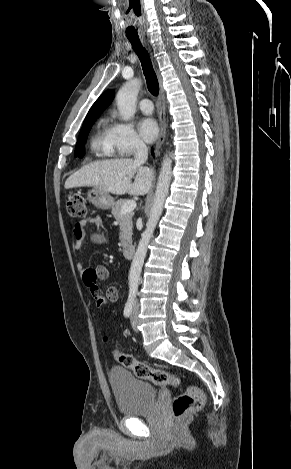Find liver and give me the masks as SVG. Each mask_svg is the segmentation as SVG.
Masks as SVG:
<instances>
[{"mask_svg": "<svg viewBox=\"0 0 291 469\" xmlns=\"http://www.w3.org/2000/svg\"><path fill=\"white\" fill-rule=\"evenodd\" d=\"M153 177V169L133 159H112L85 165L67 178L65 188L91 186L117 195H145Z\"/></svg>", "mask_w": 291, "mask_h": 469, "instance_id": "liver-1", "label": "liver"}]
</instances>
